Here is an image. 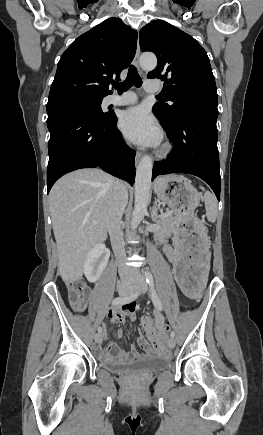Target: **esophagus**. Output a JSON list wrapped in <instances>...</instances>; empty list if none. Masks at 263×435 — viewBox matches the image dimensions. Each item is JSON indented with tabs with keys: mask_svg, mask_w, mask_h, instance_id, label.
<instances>
[{
	"mask_svg": "<svg viewBox=\"0 0 263 435\" xmlns=\"http://www.w3.org/2000/svg\"><path fill=\"white\" fill-rule=\"evenodd\" d=\"M139 58H140V46H139V38H138V40H137L136 54H135V57H134V64L139 69L140 73L143 74V71L140 68ZM141 157H142V153L141 152H137L136 156H135V162H136V164H138V162L140 161Z\"/></svg>",
	"mask_w": 263,
	"mask_h": 435,
	"instance_id": "1",
	"label": "esophagus"
}]
</instances>
